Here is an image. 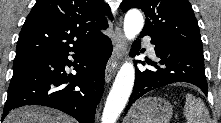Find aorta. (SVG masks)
<instances>
[{"mask_svg":"<svg viewBox=\"0 0 221 123\" xmlns=\"http://www.w3.org/2000/svg\"><path fill=\"white\" fill-rule=\"evenodd\" d=\"M143 26L144 19L140 11L132 9L126 13L123 28L127 39H134L141 32ZM134 80V66L130 62H125L118 71L107 97L102 123H116L132 92Z\"/></svg>","mask_w":221,"mask_h":123,"instance_id":"aorta-1","label":"aorta"}]
</instances>
